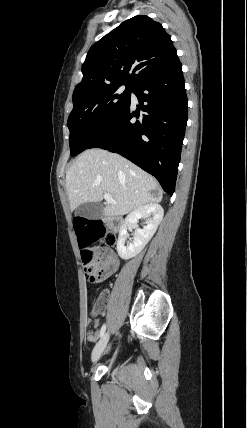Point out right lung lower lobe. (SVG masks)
<instances>
[{
  "mask_svg": "<svg viewBox=\"0 0 247 428\" xmlns=\"http://www.w3.org/2000/svg\"><path fill=\"white\" fill-rule=\"evenodd\" d=\"M133 92L138 108L133 110L129 104L89 148L106 149L129 159L156 177L172 196L188 119L179 58L145 79Z\"/></svg>",
  "mask_w": 247,
  "mask_h": 428,
  "instance_id": "1",
  "label": "right lung lower lobe"
}]
</instances>
